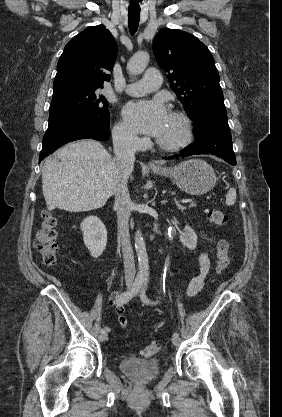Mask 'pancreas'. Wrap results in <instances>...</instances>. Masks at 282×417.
<instances>
[{"label":"pancreas","mask_w":282,"mask_h":417,"mask_svg":"<svg viewBox=\"0 0 282 417\" xmlns=\"http://www.w3.org/2000/svg\"><path fill=\"white\" fill-rule=\"evenodd\" d=\"M189 206H196L195 200H193V202H190Z\"/></svg>","instance_id":"cf45deb5"}]
</instances>
